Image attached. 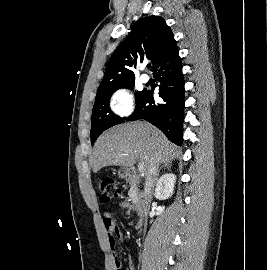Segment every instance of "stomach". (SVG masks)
<instances>
[{"mask_svg": "<svg viewBox=\"0 0 267 270\" xmlns=\"http://www.w3.org/2000/svg\"><path fill=\"white\" fill-rule=\"evenodd\" d=\"M118 175L121 177V178H126L128 175H129V170L127 168H120L118 170Z\"/></svg>", "mask_w": 267, "mask_h": 270, "instance_id": "obj_1", "label": "stomach"}]
</instances>
